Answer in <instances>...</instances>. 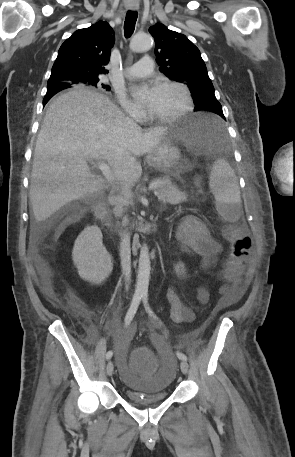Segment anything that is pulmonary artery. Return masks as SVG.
Here are the masks:
<instances>
[{"mask_svg": "<svg viewBox=\"0 0 295 457\" xmlns=\"http://www.w3.org/2000/svg\"><path fill=\"white\" fill-rule=\"evenodd\" d=\"M153 69H154V63H153L152 58L149 56H144L137 63L128 67L125 70V74L127 77H130V78L144 77V76L151 74Z\"/></svg>", "mask_w": 295, "mask_h": 457, "instance_id": "pulmonary-artery-1", "label": "pulmonary artery"}]
</instances>
